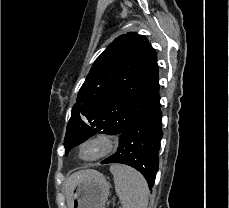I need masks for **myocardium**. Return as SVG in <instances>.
I'll use <instances>...</instances> for the list:
<instances>
[{
  "mask_svg": "<svg viewBox=\"0 0 229 208\" xmlns=\"http://www.w3.org/2000/svg\"><path fill=\"white\" fill-rule=\"evenodd\" d=\"M98 137V138H97ZM113 140L112 147L105 153L94 157V158H84L81 155L82 147H110L111 139ZM90 141V142H89ZM122 139L119 133L109 130V129H99L92 133L91 135L83 138L77 145L76 153L79 160L85 163H95L115 154L121 147Z\"/></svg>",
  "mask_w": 229,
  "mask_h": 208,
  "instance_id": "f54148a6",
  "label": "myocardium"
}]
</instances>
